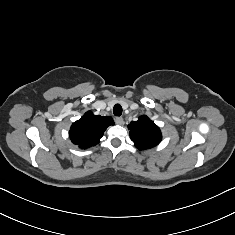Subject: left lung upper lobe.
<instances>
[{"label": "left lung upper lobe", "instance_id": "left-lung-upper-lobe-1", "mask_svg": "<svg viewBox=\"0 0 235 235\" xmlns=\"http://www.w3.org/2000/svg\"><path fill=\"white\" fill-rule=\"evenodd\" d=\"M130 138L139 150H146L159 144L162 139L159 127L147 116L128 125Z\"/></svg>", "mask_w": 235, "mask_h": 235}]
</instances>
